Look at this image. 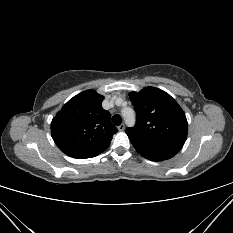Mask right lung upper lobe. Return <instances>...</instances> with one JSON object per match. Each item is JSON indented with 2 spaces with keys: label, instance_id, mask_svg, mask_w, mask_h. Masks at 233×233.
I'll use <instances>...</instances> for the list:
<instances>
[{
  "label": "right lung upper lobe",
  "instance_id": "cb5924a9",
  "mask_svg": "<svg viewBox=\"0 0 233 233\" xmlns=\"http://www.w3.org/2000/svg\"><path fill=\"white\" fill-rule=\"evenodd\" d=\"M104 96L87 90L74 96L59 111L51 123L56 145L68 156L92 158L110 145L118 130L111 115L102 108Z\"/></svg>",
  "mask_w": 233,
  "mask_h": 233
}]
</instances>
